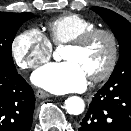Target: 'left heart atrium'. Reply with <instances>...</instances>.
<instances>
[{
	"label": "left heart atrium",
	"instance_id": "39dd6f15",
	"mask_svg": "<svg viewBox=\"0 0 131 131\" xmlns=\"http://www.w3.org/2000/svg\"><path fill=\"white\" fill-rule=\"evenodd\" d=\"M32 81L48 91L62 94L83 90L87 75L76 62L64 61L39 68L33 73Z\"/></svg>",
	"mask_w": 131,
	"mask_h": 131
}]
</instances>
